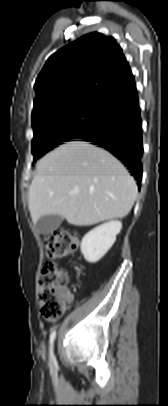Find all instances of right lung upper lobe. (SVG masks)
I'll return each instance as SVG.
<instances>
[{"instance_id":"right-lung-upper-lobe-1","label":"right lung upper lobe","mask_w":168,"mask_h":406,"mask_svg":"<svg viewBox=\"0 0 168 406\" xmlns=\"http://www.w3.org/2000/svg\"><path fill=\"white\" fill-rule=\"evenodd\" d=\"M135 84L113 37L89 33L49 57L34 85L32 123L82 100H106Z\"/></svg>"}]
</instances>
